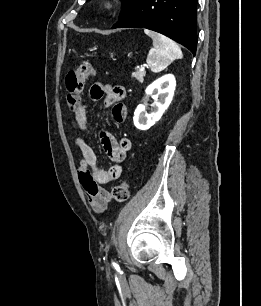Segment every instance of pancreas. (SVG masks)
Segmentation results:
<instances>
[{
    "mask_svg": "<svg viewBox=\"0 0 261 306\" xmlns=\"http://www.w3.org/2000/svg\"><path fill=\"white\" fill-rule=\"evenodd\" d=\"M145 71H136L132 73V77L136 78L140 83H143V78L145 77Z\"/></svg>",
    "mask_w": 261,
    "mask_h": 306,
    "instance_id": "obj_1",
    "label": "pancreas"
}]
</instances>
